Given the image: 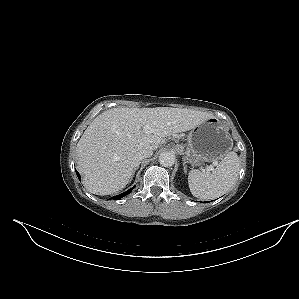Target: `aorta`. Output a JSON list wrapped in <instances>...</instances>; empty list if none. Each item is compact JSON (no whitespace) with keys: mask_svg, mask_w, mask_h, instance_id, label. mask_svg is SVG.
Instances as JSON below:
<instances>
[{"mask_svg":"<svg viewBox=\"0 0 299 299\" xmlns=\"http://www.w3.org/2000/svg\"><path fill=\"white\" fill-rule=\"evenodd\" d=\"M175 161L176 158L173 152L165 151L159 156V163L164 167H170L174 165Z\"/></svg>","mask_w":299,"mask_h":299,"instance_id":"obj_1","label":"aorta"}]
</instances>
